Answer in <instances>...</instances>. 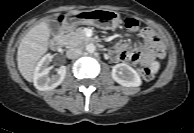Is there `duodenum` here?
I'll list each match as a JSON object with an SVG mask.
<instances>
[{"instance_id":"obj_1","label":"duodenum","mask_w":194,"mask_h":133,"mask_svg":"<svg viewBox=\"0 0 194 133\" xmlns=\"http://www.w3.org/2000/svg\"><path fill=\"white\" fill-rule=\"evenodd\" d=\"M72 24L71 23H67L63 26L62 31L60 34L56 35L50 42V47L53 50H59L62 45H63V41H64V34L69 31V29L71 28ZM88 43H94V41L92 39H87Z\"/></svg>"}]
</instances>
